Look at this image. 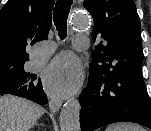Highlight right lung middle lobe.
<instances>
[{
	"label": "right lung middle lobe",
	"mask_w": 151,
	"mask_h": 131,
	"mask_svg": "<svg viewBox=\"0 0 151 131\" xmlns=\"http://www.w3.org/2000/svg\"><path fill=\"white\" fill-rule=\"evenodd\" d=\"M31 75L24 71V63L17 65L6 63L0 67V81H3L4 85L16 84Z\"/></svg>",
	"instance_id": "dd1d6c3e"
}]
</instances>
